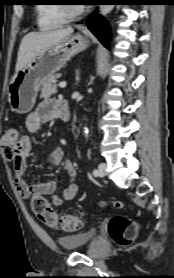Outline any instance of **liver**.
<instances>
[{
  "instance_id": "6515ba94",
  "label": "liver",
  "mask_w": 174,
  "mask_h": 278,
  "mask_svg": "<svg viewBox=\"0 0 174 278\" xmlns=\"http://www.w3.org/2000/svg\"><path fill=\"white\" fill-rule=\"evenodd\" d=\"M73 33L72 27L51 31L30 32L26 34L19 46L15 72L22 70L34 57L57 44Z\"/></svg>"
}]
</instances>
